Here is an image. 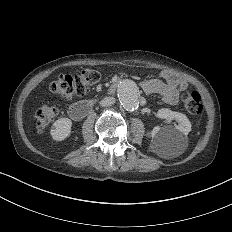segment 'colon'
<instances>
[{
  "mask_svg": "<svg viewBox=\"0 0 232 232\" xmlns=\"http://www.w3.org/2000/svg\"><path fill=\"white\" fill-rule=\"evenodd\" d=\"M80 74H57V79L49 84V89L56 95H70L72 93L84 94L93 88V83L99 79V73L91 68H79ZM200 96L197 91L188 89L182 94V102H178V107H183L190 117L199 118L203 114V106H199ZM60 112L59 108L54 106H39L36 108L35 121L41 131L51 130V117H57Z\"/></svg>",
  "mask_w": 232,
  "mask_h": 232,
  "instance_id": "1",
  "label": "colon"
}]
</instances>
